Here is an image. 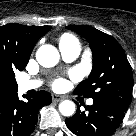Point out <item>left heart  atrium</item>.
I'll use <instances>...</instances> for the list:
<instances>
[{
    "label": "left heart atrium",
    "mask_w": 136,
    "mask_h": 136,
    "mask_svg": "<svg viewBox=\"0 0 136 136\" xmlns=\"http://www.w3.org/2000/svg\"><path fill=\"white\" fill-rule=\"evenodd\" d=\"M65 85V81L63 79H57L53 82V87L59 89Z\"/></svg>",
    "instance_id": "1"
}]
</instances>
